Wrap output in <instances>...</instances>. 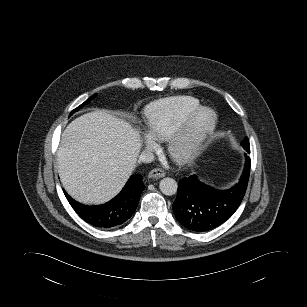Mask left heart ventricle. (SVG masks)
<instances>
[{
	"label": "left heart ventricle",
	"mask_w": 307,
	"mask_h": 307,
	"mask_svg": "<svg viewBox=\"0 0 307 307\" xmlns=\"http://www.w3.org/2000/svg\"><path fill=\"white\" fill-rule=\"evenodd\" d=\"M209 119L208 114H202L198 119L196 120V126L200 127L207 123Z\"/></svg>",
	"instance_id": "obj_1"
}]
</instances>
